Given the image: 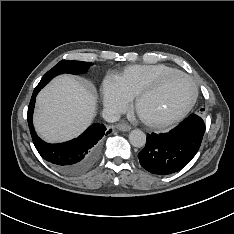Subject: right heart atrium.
Wrapping results in <instances>:
<instances>
[{"label":"right heart atrium","mask_w":234,"mask_h":234,"mask_svg":"<svg viewBox=\"0 0 234 234\" xmlns=\"http://www.w3.org/2000/svg\"><path fill=\"white\" fill-rule=\"evenodd\" d=\"M103 103L106 108L121 113L124 112L130 100L122 93L118 84L113 79H106L102 88Z\"/></svg>","instance_id":"1"}]
</instances>
